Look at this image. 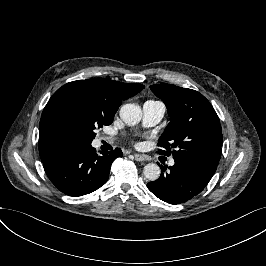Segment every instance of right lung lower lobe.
<instances>
[{
    "label": "right lung lower lobe",
    "mask_w": 266,
    "mask_h": 266,
    "mask_svg": "<svg viewBox=\"0 0 266 266\" xmlns=\"http://www.w3.org/2000/svg\"><path fill=\"white\" fill-rule=\"evenodd\" d=\"M122 155V151L116 148L99 156L91 143H73L55 150L43 164L55 187L76 197L103 186L108 180L112 162Z\"/></svg>",
    "instance_id": "obj_1"
}]
</instances>
